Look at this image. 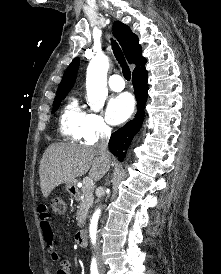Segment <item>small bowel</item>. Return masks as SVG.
Here are the masks:
<instances>
[{"label":"small bowel","mask_w":221,"mask_h":274,"mask_svg":"<svg viewBox=\"0 0 221 274\" xmlns=\"http://www.w3.org/2000/svg\"><path fill=\"white\" fill-rule=\"evenodd\" d=\"M38 214L41 231L46 241L51 259L60 266L56 271V274H70L68 262L64 259L63 255L55 245V235L49 207L45 204L39 205Z\"/></svg>","instance_id":"small-bowel-1"}]
</instances>
